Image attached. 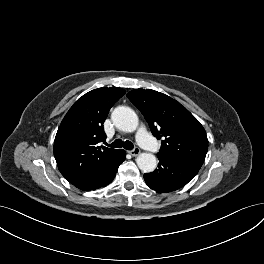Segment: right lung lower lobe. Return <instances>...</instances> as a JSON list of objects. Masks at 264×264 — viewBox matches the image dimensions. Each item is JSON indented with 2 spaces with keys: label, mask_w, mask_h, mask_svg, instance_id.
<instances>
[{
  "label": "right lung lower lobe",
  "mask_w": 264,
  "mask_h": 264,
  "mask_svg": "<svg viewBox=\"0 0 264 264\" xmlns=\"http://www.w3.org/2000/svg\"><path fill=\"white\" fill-rule=\"evenodd\" d=\"M126 153L120 149L115 155L105 160L94 169L70 180L75 187L84 190H95L112 182L119 165L125 160Z\"/></svg>",
  "instance_id": "right-lung-lower-lobe-1"
}]
</instances>
